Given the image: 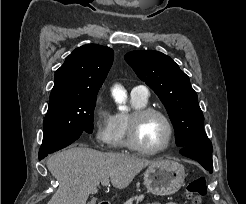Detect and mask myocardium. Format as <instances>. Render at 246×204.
Returning a JSON list of instances; mask_svg holds the SVG:
<instances>
[{
  "mask_svg": "<svg viewBox=\"0 0 246 204\" xmlns=\"http://www.w3.org/2000/svg\"><path fill=\"white\" fill-rule=\"evenodd\" d=\"M151 115H157L161 117L165 121L167 128H168V136H167L165 143L162 146L158 148H154V149H149V148L144 147L143 145H141L138 139V132H139V128H140L142 121ZM174 134H175V130H174V125L171 119L166 113H164L163 111L157 108L144 107L141 109L134 110L129 115L127 134H126V143L130 149L136 152H139L141 154H146V155H154V154L161 153L170 147L174 139Z\"/></svg>",
  "mask_w": 246,
  "mask_h": 204,
  "instance_id": "obj_1",
  "label": "myocardium"
}]
</instances>
